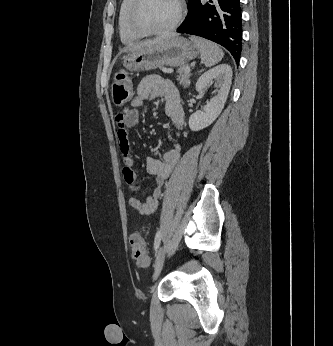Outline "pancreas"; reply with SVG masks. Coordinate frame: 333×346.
<instances>
[{"label":"pancreas","instance_id":"1","mask_svg":"<svg viewBox=\"0 0 333 346\" xmlns=\"http://www.w3.org/2000/svg\"><path fill=\"white\" fill-rule=\"evenodd\" d=\"M186 66H181L178 68L177 72V81L179 82L180 85H183L184 87H188L190 85V73L185 72Z\"/></svg>","mask_w":333,"mask_h":346}]
</instances>
